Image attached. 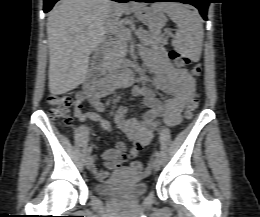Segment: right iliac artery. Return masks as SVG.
Instances as JSON below:
<instances>
[{"label":"right iliac artery","instance_id":"right-iliac-artery-1","mask_svg":"<svg viewBox=\"0 0 260 217\" xmlns=\"http://www.w3.org/2000/svg\"><path fill=\"white\" fill-rule=\"evenodd\" d=\"M118 85H115V88L117 87ZM92 152V146H90L87 151H86V155L89 156Z\"/></svg>","mask_w":260,"mask_h":217}]
</instances>
